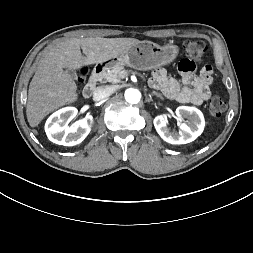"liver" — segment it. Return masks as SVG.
<instances>
[{
    "label": "liver",
    "instance_id": "obj_1",
    "mask_svg": "<svg viewBox=\"0 0 253 253\" xmlns=\"http://www.w3.org/2000/svg\"><path fill=\"white\" fill-rule=\"evenodd\" d=\"M139 42L135 38L91 37L65 39L54 45L39 63L29 85L26 106L29 125L36 127L50 112L77 101V85L64 68L76 70L105 62Z\"/></svg>",
    "mask_w": 253,
    "mask_h": 253
}]
</instances>
